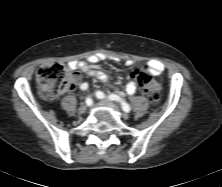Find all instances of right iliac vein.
Instances as JSON below:
<instances>
[{"mask_svg":"<svg viewBox=\"0 0 222 187\" xmlns=\"http://www.w3.org/2000/svg\"><path fill=\"white\" fill-rule=\"evenodd\" d=\"M86 111H87V105H82V106H80L79 109H78V113H79V114H83V113H85Z\"/></svg>","mask_w":222,"mask_h":187,"instance_id":"obj_1","label":"right iliac vein"}]
</instances>
